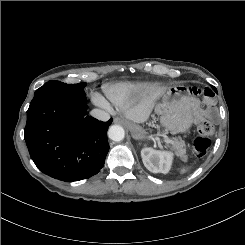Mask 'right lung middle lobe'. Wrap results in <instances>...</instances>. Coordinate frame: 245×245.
Wrapping results in <instances>:
<instances>
[{
	"instance_id": "dd1d6c3e",
	"label": "right lung middle lobe",
	"mask_w": 245,
	"mask_h": 245,
	"mask_svg": "<svg viewBox=\"0 0 245 245\" xmlns=\"http://www.w3.org/2000/svg\"><path fill=\"white\" fill-rule=\"evenodd\" d=\"M86 86V83H78V84H66L60 81H55V80H51L48 81L47 83H45L42 87H40L39 89H37L35 91V95L42 92L43 90L46 89H52V88H56V89H61V88H70V89H77V90H83V88Z\"/></svg>"
}]
</instances>
